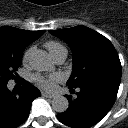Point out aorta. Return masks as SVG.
<instances>
[{
    "label": "aorta",
    "mask_w": 128,
    "mask_h": 128,
    "mask_svg": "<svg viewBox=\"0 0 128 128\" xmlns=\"http://www.w3.org/2000/svg\"><path fill=\"white\" fill-rule=\"evenodd\" d=\"M31 66L40 72L53 71L55 65L46 51L35 52L30 59ZM68 99L62 95H57L52 100V108L58 112L63 113L68 109Z\"/></svg>",
    "instance_id": "1"
}]
</instances>
